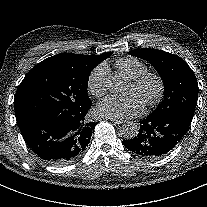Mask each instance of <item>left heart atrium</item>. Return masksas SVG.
Returning <instances> with one entry per match:
<instances>
[{
  "mask_svg": "<svg viewBox=\"0 0 207 207\" xmlns=\"http://www.w3.org/2000/svg\"><path fill=\"white\" fill-rule=\"evenodd\" d=\"M144 101L135 93L120 97L110 95L98 104V113L112 119H129L141 115L144 111Z\"/></svg>",
  "mask_w": 207,
  "mask_h": 207,
  "instance_id": "1",
  "label": "left heart atrium"
}]
</instances>
